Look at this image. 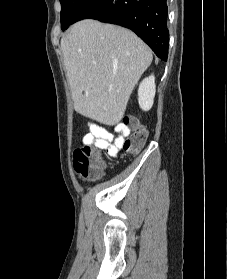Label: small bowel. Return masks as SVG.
<instances>
[{
    "label": "small bowel",
    "mask_w": 227,
    "mask_h": 279,
    "mask_svg": "<svg viewBox=\"0 0 227 279\" xmlns=\"http://www.w3.org/2000/svg\"><path fill=\"white\" fill-rule=\"evenodd\" d=\"M89 136L93 139V145L104 149L108 156L117 159L120 151L124 149L125 137L129 134V129L119 124L115 127V133L107 131L105 127L98 123L90 124Z\"/></svg>",
    "instance_id": "obj_1"
}]
</instances>
